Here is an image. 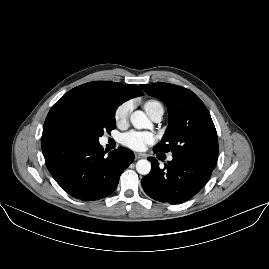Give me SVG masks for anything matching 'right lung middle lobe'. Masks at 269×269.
<instances>
[{"instance_id":"dd1d6c3e","label":"right lung middle lobe","mask_w":269,"mask_h":269,"mask_svg":"<svg viewBox=\"0 0 269 269\" xmlns=\"http://www.w3.org/2000/svg\"><path fill=\"white\" fill-rule=\"evenodd\" d=\"M116 109L106 104L64 103L50 110L46 122L50 130H63L80 142H99L104 132L116 128Z\"/></svg>"}]
</instances>
